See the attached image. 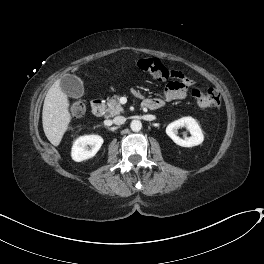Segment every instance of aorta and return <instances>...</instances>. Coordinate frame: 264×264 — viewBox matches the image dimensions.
Segmentation results:
<instances>
[{
	"mask_svg": "<svg viewBox=\"0 0 264 264\" xmlns=\"http://www.w3.org/2000/svg\"><path fill=\"white\" fill-rule=\"evenodd\" d=\"M131 130L134 132H138L142 128V123L139 120H133L130 124Z\"/></svg>",
	"mask_w": 264,
	"mask_h": 264,
	"instance_id": "aorta-1",
	"label": "aorta"
}]
</instances>
